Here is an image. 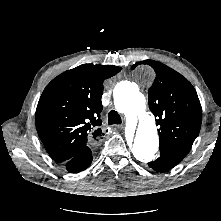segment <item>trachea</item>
<instances>
[{
  "label": "trachea",
  "instance_id": "trachea-1",
  "mask_svg": "<svg viewBox=\"0 0 221 221\" xmlns=\"http://www.w3.org/2000/svg\"><path fill=\"white\" fill-rule=\"evenodd\" d=\"M122 120L120 115L115 111L111 110L108 114V124L113 125V124H121Z\"/></svg>",
  "mask_w": 221,
  "mask_h": 221
}]
</instances>
